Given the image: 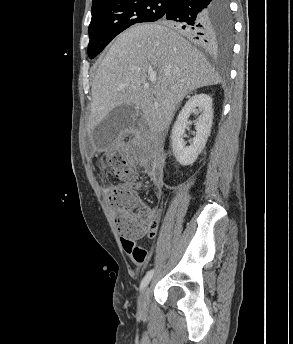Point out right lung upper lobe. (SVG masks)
<instances>
[{
	"mask_svg": "<svg viewBox=\"0 0 293 344\" xmlns=\"http://www.w3.org/2000/svg\"><path fill=\"white\" fill-rule=\"evenodd\" d=\"M110 1H115V0H93L92 2V8H94L96 5L102 3V2H110Z\"/></svg>",
	"mask_w": 293,
	"mask_h": 344,
	"instance_id": "right-lung-upper-lobe-1",
	"label": "right lung upper lobe"
}]
</instances>
